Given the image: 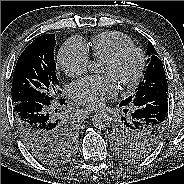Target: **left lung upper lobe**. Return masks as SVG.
Wrapping results in <instances>:
<instances>
[{
	"mask_svg": "<svg viewBox=\"0 0 184 184\" xmlns=\"http://www.w3.org/2000/svg\"><path fill=\"white\" fill-rule=\"evenodd\" d=\"M147 55L150 56L148 59L149 65L143 81L139 83L135 94L123 100L120 106L132 105L135 101L148 93L156 91L168 92V83L163 64L158 58V53L151 42L147 45ZM132 119L131 116H127L126 118L121 117L110 131V137L116 147V152L123 159L131 161L146 157L156 147L155 145L150 151L141 153L135 152V146L138 145V143L151 142L153 136L150 133V131H152L151 127L146 126L143 130L136 127Z\"/></svg>",
	"mask_w": 184,
	"mask_h": 184,
	"instance_id": "left-lung-upper-lobe-1",
	"label": "left lung upper lobe"
}]
</instances>
